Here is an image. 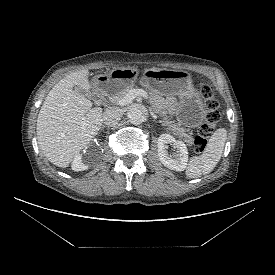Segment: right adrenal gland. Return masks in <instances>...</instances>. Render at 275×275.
Here are the masks:
<instances>
[{
  "mask_svg": "<svg viewBox=\"0 0 275 275\" xmlns=\"http://www.w3.org/2000/svg\"><path fill=\"white\" fill-rule=\"evenodd\" d=\"M104 128H105V126L103 125L101 129H104Z\"/></svg>",
  "mask_w": 275,
  "mask_h": 275,
  "instance_id": "1",
  "label": "right adrenal gland"
}]
</instances>
